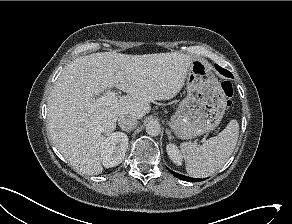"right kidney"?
I'll use <instances>...</instances> for the list:
<instances>
[{"label":"right kidney","mask_w":292,"mask_h":224,"mask_svg":"<svg viewBox=\"0 0 292 224\" xmlns=\"http://www.w3.org/2000/svg\"><path fill=\"white\" fill-rule=\"evenodd\" d=\"M128 142V136L121 132H114L104 140L100 159L105 168L117 166L124 160Z\"/></svg>","instance_id":"right-kidney-1"}]
</instances>
